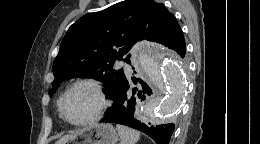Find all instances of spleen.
<instances>
[{"mask_svg":"<svg viewBox=\"0 0 260 144\" xmlns=\"http://www.w3.org/2000/svg\"><path fill=\"white\" fill-rule=\"evenodd\" d=\"M121 142L120 144H136L140 138V133L134 129L123 125H116Z\"/></svg>","mask_w":260,"mask_h":144,"instance_id":"obj_1","label":"spleen"}]
</instances>
